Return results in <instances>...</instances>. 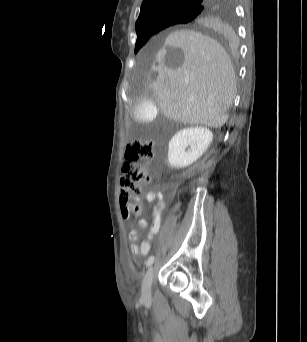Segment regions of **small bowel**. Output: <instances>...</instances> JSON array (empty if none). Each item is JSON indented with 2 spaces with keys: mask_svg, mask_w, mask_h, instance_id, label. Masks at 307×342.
I'll use <instances>...</instances> for the list:
<instances>
[{
  "mask_svg": "<svg viewBox=\"0 0 307 342\" xmlns=\"http://www.w3.org/2000/svg\"><path fill=\"white\" fill-rule=\"evenodd\" d=\"M135 199L138 200L137 198ZM145 199L149 202L156 201L153 207V211H152L153 222H152L150 229L148 230L147 240L142 242L139 246L136 244L131 245L130 249L132 253L135 255H146L149 252L150 242L159 232L161 213L165 206L164 201H163V196L159 192L148 191L145 194ZM142 207H143V203L140 202L139 205H137L134 208L135 212L140 213ZM123 215L125 218H129L130 210L128 209L127 211L123 212ZM146 226H147L146 220L141 219L138 223V228L144 229ZM129 238L132 242H136L139 239V230L137 228H131L129 231Z\"/></svg>",
  "mask_w": 307,
  "mask_h": 342,
  "instance_id": "c3829d8e",
  "label": "small bowel"
}]
</instances>
